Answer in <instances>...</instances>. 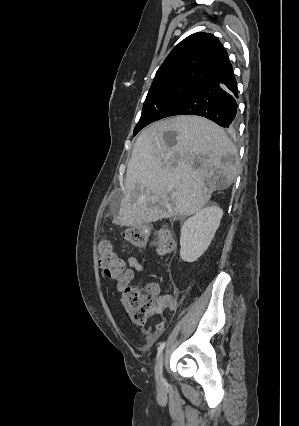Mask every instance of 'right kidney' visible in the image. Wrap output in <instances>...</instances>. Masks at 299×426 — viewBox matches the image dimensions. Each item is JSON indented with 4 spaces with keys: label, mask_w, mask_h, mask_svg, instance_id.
<instances>
[{
    "label": "right kidney",
    "mask_w": 299,
    "mask_h": 426,
    "mask_svg": "<svg viewBox=\"0 0 299 426\" xmlns=\"http://www.w3.org/2000/svg\"><path fill=\"white\" fill-rule=\"evenodd\" d=\"M223 210L216 205L207 206L188 218L181 228L180 257L185 262H195L210 245L220 225Z\"/></svg>",
    "instance_id": "obj_1"
}]
</instances>
